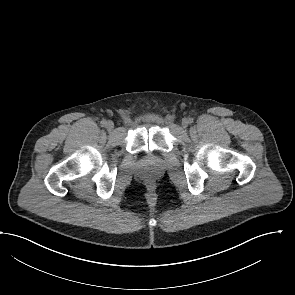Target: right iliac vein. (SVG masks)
Masks as SVG:
<instances>
[{
  "label": "right iliac vein",
  "instance_id": "obj_1",
  "mask_svg": "<svg viewBox=\"0 0 295 295\" xmlns=\"http://www.w3.org/2000/svg\"><path fill=\"white\" fill-rule=\"evenodd\" d=\"M105 127L107 128V130L111 131L114 128V123L112 121H107Z\"/></svg>",
  "mask_w": 295,
  "mask_h": 295
}]
</instances>
